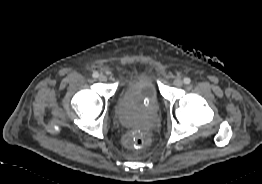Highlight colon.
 <instances>
[{"label":"colon","mask_w":262,"mask_h":184,"mask_svg":"<svg viewBox=\"0 0 262 184\" xmlns=\"http://www.w3.org/2000/svg\"><path fill=\"white\" fill-rule=\"evenodd\" d=\"M146 138L137 133V134H134L132 136H128L126 139H125V144L128 146V147H132V148H142L146 145Z\"/></svg>","instance_id":"colon-1"}]
</instances>
